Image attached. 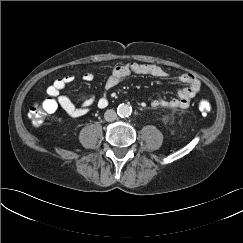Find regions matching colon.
<instances>
[{
	"instance_id": "colon-1",
	"label": "colon",
	"mask_w": 243,
	"mask_h": 243,
	"mask_svg": "<svg viewBox=\"0 0 243 243\" xmlns=\"http://www.w3.org/2000/svg\"><path fill=\"white\" fill-rule=\"evenodd\" d=\"M57 103L52 98L44 99L43 101L35 103L28 112V117L34 126H41L48 114L57 110ZM198 108L201 113L208 114L212 110L210 102L201 100L198 103Z\"/></svg>"
}]
</instances>
